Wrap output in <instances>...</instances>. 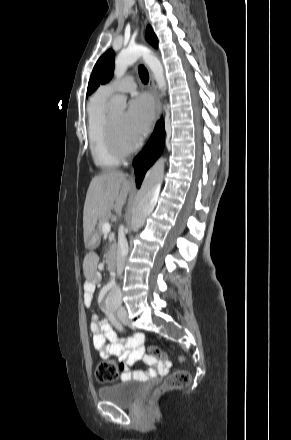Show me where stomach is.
Listing matches in <instances>:
<instances>
[{
  "mask_svg": "<svg viewBox=\"0 0 291 440\" xmlns=\"http://www.w3.org/2000/svg\"><path fill=\"white\" fill-rule=\"evenodd\" d=\"M98 243H99V235L94 232L86 241V246L88 248H94Z\"/></svg>",
  "mask_w": 291,
  "mask_h": 440,
  "instance_id": "stomach-1",
  "label": "stomach"
}]
</instances>
